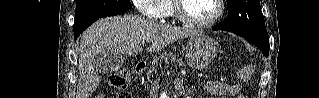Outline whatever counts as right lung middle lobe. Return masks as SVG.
I'll list each match as a JSON object with an SVG mask.
<instances>
[{
    "label": "right lung middle lobe",
    "instance_id": "1",
    "mask_svg": "<svg viewBox=\"0 0 319 98\" xmlns=\"http://www.w3.org/2000/svg\"><path fill=\"white\" fill-rule=\"evenodd\" d=\"M130 0H77L75 16L106 10H129Z\"/></svg>",
    "mask_w": 319,
    "mask_h": 98
}]
</instances>
